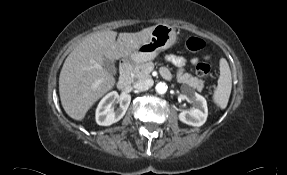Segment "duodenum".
<instances>
[{
    "mask_svg": "<svg viewBox=\"0 0 287 175\" xmlns=\"http://www.w3.org/2000/svg\"><path fill=\"white\" fill-rule=\"evenodd\" d=\"M131 71L132 63L130 60H123L120 64V78L118 82V88L125 90L131 85Z\"/></svg>",
    "mask_w": 287,
    "mask_h": 175,
    "instance_id": "1",
    "label": "duodenum"
}]
</instances>
